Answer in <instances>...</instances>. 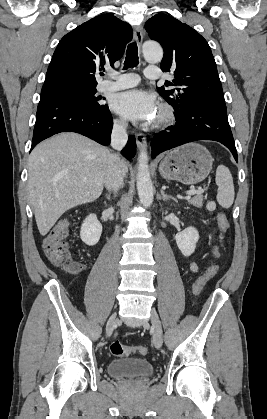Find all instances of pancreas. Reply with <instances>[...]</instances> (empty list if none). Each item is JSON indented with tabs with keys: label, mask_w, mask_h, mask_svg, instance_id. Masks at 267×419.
Listing matches in <instances>:
<instances>
[{
	"label": "pancreas",
	"mask_w": 267,
	"mask_h": 419,
	"mask_svg": "<svg viewBox=\"0 0 267 419\" xmlns=\"http://www.w3.org/2000/svg\"><path fill=\"white\" fill-rule=\"evenodd\" d=\"M189 204H192L193 206H196L197 208H202L204 197L201 194H198L194 196L193 198L188 200Z\"/></svg>",
	"instance_id": "cf45deb5"
}]
</instances>
